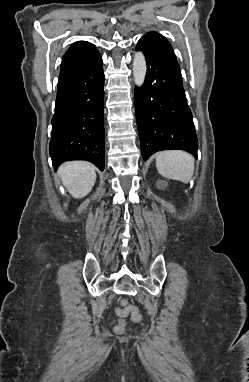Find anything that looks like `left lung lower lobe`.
I'll return each instance as SVG.
<instances>
[{
	"instance_id": "0a47b994",
	"label": "left lung lower lobe",
	"mask_w": 249,
	"mask_h": 382,
	"mask_svg": "<svg viewBox=\"0 0 249 382\" xmlns=\"http://www.w3.org/2000/svg\"><path fill=\"white\" fill-rule=\"evenodd\" d=\"M136 50L144 53L147 62L145 82L135 89L143 159L167 149L185 150L197 158V136L176 58L145 37Z\"/></svg>"
}]
</instances>
